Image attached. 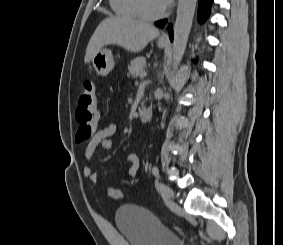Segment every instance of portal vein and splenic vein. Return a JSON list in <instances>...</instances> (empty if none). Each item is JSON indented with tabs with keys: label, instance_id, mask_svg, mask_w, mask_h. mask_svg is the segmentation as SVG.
I'll return each mask as SVG.
<instances>
[{
	"label": "portal vein and splenic vein",
	"instance_id": "18ae733b",
	"mask_svg": "<svg viewBox=\"0 0 283 245\" xmlns=\"http://www.w3.org/2000/svg\"><path fill=\"white\" fill-rule=\"evenodd\" d=\"M147 73L145 71L141 72L140 77H145Z\"/></svg>",
	"mask_w": 283,
	"mask_h": 245
}]
</instances>
